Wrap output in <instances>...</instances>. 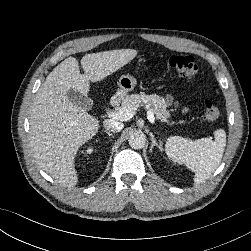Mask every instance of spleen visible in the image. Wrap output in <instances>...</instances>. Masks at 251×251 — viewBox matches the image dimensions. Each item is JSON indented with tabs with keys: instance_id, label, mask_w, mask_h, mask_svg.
Here are the masks:
<instances>
[{
	"instance_id": "3e777b00",
	"label": "spleen",
	"mask_w": 251,
	"mask_h": 251,
	"mask_svg": "<svg viewBox=\"0 0 251 251\" xmlns=\"http://www.w3.org/2000/svg\"><path fill=\"white\" fill-rule=\"evenodd\" d=\"M226 146V133L223 129L214 132L212 138L189 140L179 136L169 137L165 143V153L169 159L184 164L195 172L194 183L204 182L221 162Z\"/></svg>"
}]
</instances>
